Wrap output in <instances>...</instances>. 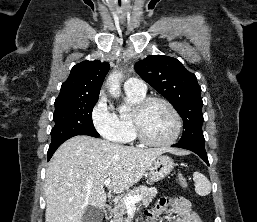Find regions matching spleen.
Segmentation results:
<instances>
[{"instance_id": "spleen-1", "label": "spleen", "mask_w": 257, "mask_h": 222, "mask_svg": "<svg viewBox=\"0 0 257 222\" xmlns=\"http://www.w3.org/2000/svg\"><path fill=\"white\" fill-rule=\"evenodd\" d=\"M195 191L200 196H206L211 192V183L202 173L195 172L193 175Z\"/></svg>"}]
</instances>
